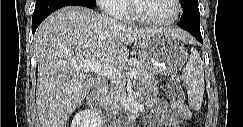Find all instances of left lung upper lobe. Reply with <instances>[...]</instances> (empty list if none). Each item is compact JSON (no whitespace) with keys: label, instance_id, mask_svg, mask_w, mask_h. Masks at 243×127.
I'll use <instances>...</instances> for the list:
<instances>
[{"label":"left lung upper lobe","instance_id":"5c2ea615","mask_svg":"<svg viewBox=\"0 0 243 127\" xmlns=\"http://www.w3.org/2000/svg\"><path fill=\"white\" fill-rule=\"evenodd\" d=\"M181 6L184 8L198 7V0H180Z\"/></svg>","mask_w":243,"mask_h":127}]
</instances>
